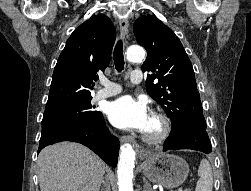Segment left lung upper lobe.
Returning a JSON list of instances; mask_svg holds the SVG:
<instances>
[{"mask_svg": "<svg viewBox=\"0 0 251 191\" xmlns=\"http://www.w3.org/2000/svg\"><path fill=\"white\" fill-rule=\"evenodd\" d=\"M134 34L147 51L142 71L152 73L147 92L170 117L171 133L189 125L206 127L194 70L179 38L153 15L137 19Z\"/></svg>", "mask_w": 251, "mask_h": 191, "instance_id": "1", "label": "left lung upper lobe"}]
</instances>
